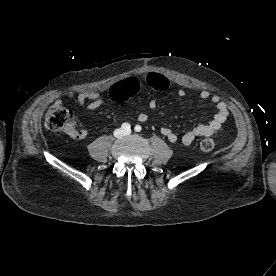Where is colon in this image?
<instances>
[{"label": "colon", "instance_id": "obj_1", "mask_svg": "<svg viewBox=\"0 0 276 276\" xmlns=\"http://www.w3.org/2000/svg\"><path fill=\"white\" fill-rule=\"evenodd\" d=\"M117 91L113 89V94ZM76 126V116L62 105L56 104L49 108L45 116V128L50 133L67 132L71 134ZM215 143L212 138H203L197 148L201 152H210Z\"/></svg>", "mask_w": 276, "mask_h": 276}]
</instances>
